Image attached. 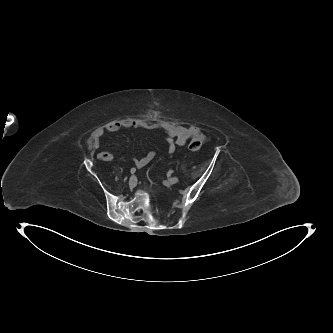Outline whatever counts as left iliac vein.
<instances>
[{"label":"left iliac vein","instance_id":"4c4485c4","mask_svg":"<svg viewBox=\"0 0 333 333\" xmlns=\"http://www.w3.org/2000/svg\"><path fill=\"white\" fill-rule=\"evenodd\" d=\"M178 181H179V178L177 176H174V177L170 178L168 181H165L164 184L173 185V184H176Z\"/></svg>","mask_w":333,"mask_h":333}]
</instances>
